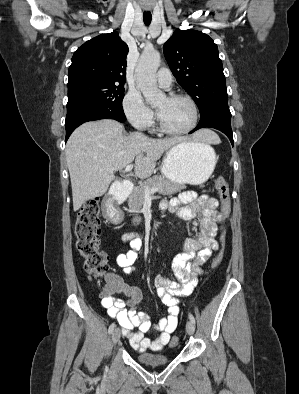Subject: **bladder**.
<instances>
[{
  "label": "bladder",
  "mask_w": 299,
  "mask_h": 394,
  "mask_svg": "<svg viewBox=\"0 0 299 394\" xmlns=\"http://www.w3.org/2000/svg\"><path fill=\"white\" fill-rule=\"evenodd\" d=\"M137 361L145 367L155 368L167 365L170 362V359L169 357L160 354L139 353L137 355Z\"/></svg>",
  "instance_id": "obj_1"
}]
</instances>
